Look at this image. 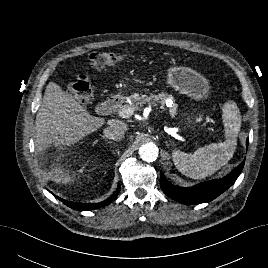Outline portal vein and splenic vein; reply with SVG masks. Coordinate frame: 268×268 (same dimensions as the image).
<instances>
[{"label":"portal vein and splenic vein","mask_w":268,"mask_h":268,"mask_svg":"<svg viewBox=\"0 0 268 268\" xmlns=\"http://www.w3.org/2000/svg\"><path fill=\"white\" fill-rule=\"evenodd\" d=\"M134 110L135 109L133 107L123 106L118 110V115L122 118H129L133 115Z\"/></svg>","instance_id":"obj_1"}]
</instances>
